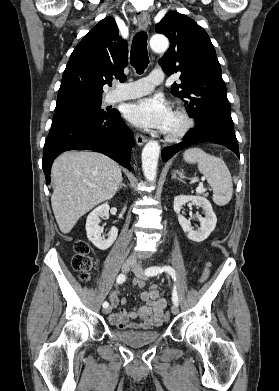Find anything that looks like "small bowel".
<instances>
[{"instance_id": "1", "label": "small bowel", "mask_w": 279, "mask_h": 391, "mask_svg": "<svg viewBox=\"0 0 279 391\" xmlns=\"http://www.w3.org/2000/svg\"><path fill=\"white\" fill-rule=\"evenodd\" d=\"M134 286L143 288L145 283L141 280H135ZM141 298L145 304L131 310L120 307L118 311L109 316L110 323L119 329H151L160 326L164 309L167 306L166 299L159 295L154 285L143 291ZM110 302L113 308L126 304L124 298H119L117 290L111 293ZM133 319H140L141 322H132Z\"/></svg>"}]
</instances>
